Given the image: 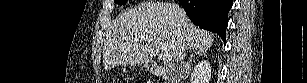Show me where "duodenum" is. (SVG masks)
<instances>
[{"mask_svg": "<svg viewBox=\"0 0 307 83\" xmlns=\"http://www.w3.org/2000/svg\"><path fill=\"white\" fill-rule=\"evenodd\" d=\"M154 72L159 74V73H161V70L158 69V68H154Z\"/></svg>", "mask_w": 307, "mask_h": 83, "instance_id": "410a0bca", "label": "duodenum"}]
</instances>
